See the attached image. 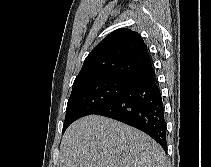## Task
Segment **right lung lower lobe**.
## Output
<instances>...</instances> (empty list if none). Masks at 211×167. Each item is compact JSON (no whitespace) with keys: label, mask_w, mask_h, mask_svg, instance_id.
Segmentation results:
<instances>
[{"label":"right lung lower lobe","mask_w":211,"mask_h":167,"mask_svg":"<svg viewBox=\"0 0 211 167\" xmlns=\"http://www.w3.org/2000/svg\"><path fill=\"white\" fill-rule=\"evenodd\" d=\"M128 79L130 86L94 114L118 120L145 132L167 152L164 106L154 67L151 65Z\"/></svg>","instance_id":"98d812e1"}]
</instances>
